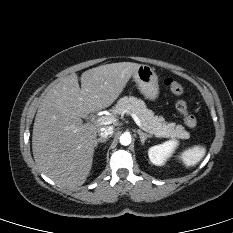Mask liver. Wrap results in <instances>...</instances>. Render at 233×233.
I'll use <instances>...</instances> for the list:
<instances>
[{"label": "liver", "instance_id": "1", "mask_svg": "<svg viewBox=\"0 0 233 233\" xmlns=\"http://www.w3.org/2000/svg\"><path fill=\"white\" fill-rule=\"evenodd\" d=\"M140 64L119 62L62 78L44 95L33 126L32 152L39 170L65 187L81 186L93 163L99 125L83 123L89 113L109 107Z\"/></svg>", "mask_w": 233, "mask_h": 233}]
</instances>
